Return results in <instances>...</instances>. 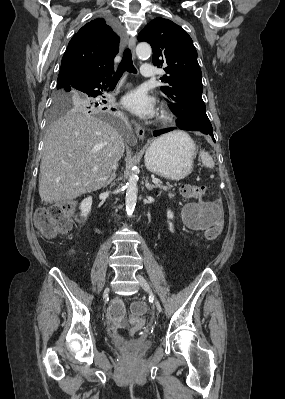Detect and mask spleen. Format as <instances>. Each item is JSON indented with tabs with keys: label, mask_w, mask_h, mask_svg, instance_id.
<instances>
[{
	"label": "spleen",
	"mask_w": 285,
	"mask_h": 399,
	"mask_svg": "<svg viewBox=\"0 0 285 399\" xmlns=\"http://www.w3.org/2000/svg\"><path fill=\"white\" fill-rule=\"evenodd\" d=\"M200 158L202 161V164L207 167V168H213L214 167V161L211 155L205 151L200 152Z\"/></svg>",
	"instance_id": "obj_1"
}]
</instances>
